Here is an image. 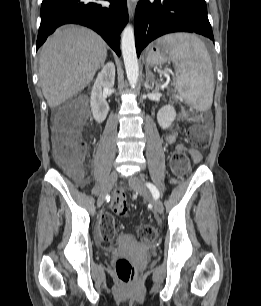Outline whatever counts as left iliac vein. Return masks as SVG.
Segmentation results:
<instances>
[{
    "mask_svg": "<svg viewBox=\"0 0 261 306\" xmlns=\"http://www.w3.org/2000/svg\"><path fill=\"white\" fill-rule=\"evenodd\" d=\"M130 187L140 194L144 199L150 200L153 204L154 210L162 214L164 211L163 203L158 198H152L148 188L145 186L144 182L137 176H133L129 179Z\"/></svg>",
    "mask_w": 261,
    "mask_h": 306,
    "instance_id": "obj_1",
    "label": "left iliac vein"
}]
</instances>
